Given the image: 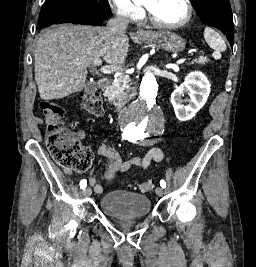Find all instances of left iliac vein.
<instances>
[{"label":"left iliac vein","instance_id":"4c4485c4","mask_svg":"<svg viewBox=\"0 0 256 267\" xmlns=\"http://www.w3.org/2000/svg\"><path fill=\"white\" fill-rule=\"evenodd\" d=\"M156 194L157 196H163L164 195V189L162 187L156 188Z\"/></svg>","mask_w":256,"mask_h":267}]
</instances>
